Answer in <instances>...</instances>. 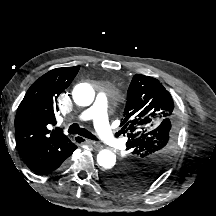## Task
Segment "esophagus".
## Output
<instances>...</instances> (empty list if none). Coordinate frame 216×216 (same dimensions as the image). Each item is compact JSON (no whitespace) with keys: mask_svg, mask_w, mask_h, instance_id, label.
Returning a JSON list of instances; mask_svg holds the SVG:
<instances>
[{"mask_svg":"<svg viewBox=\"0 0 216 216\" xmlns=\"http://www.w3.org/2000/svg\"><path fill=\"white\" fill-rule=\"evenodd\" d=\"M75 141H76L77 143L91 144V145H94L96 148H100V147H101L97 142H95V141H93V140H90V139H84V138L81 137V136H75ZM80 141H81V142H80Z\"/></svg>","mask_w":216,"mask_h":216,"instance_id":"1","label":"esophagus"}]
</instances>
